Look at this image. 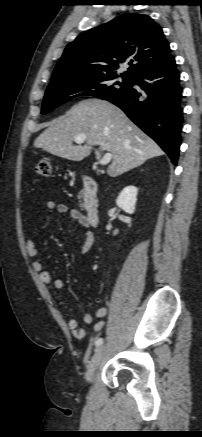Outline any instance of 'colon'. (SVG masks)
Masks as SVG:
<instances>
[{
	"label": "colon",
	"instance_id": "1",
	"mask_svg": "<svg viewBox=\"0 0 202 437\" xmlns=\"http://www.w3.org/2000/svg\"><path fill=\"white\" fill-rule=\"evenodd\" d=\"M52 160L48 157L41 158L36 166V172L40 176L48 177L52 174Z\"/></svg>",
	"mask_w": 202,
	"mask_h": 437
}]
</instances>
